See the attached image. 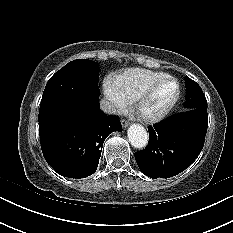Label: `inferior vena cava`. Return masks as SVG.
I'll return each mask as SVG.
<instances>
[{"label":"inferior vena cava","mask_w":233,"mask_h":233,"mask_svg":"<svg viewBox=\"0 0 233 233\" xmlns=\"http://www.w3.org/2000/svg\"><path fill=\"white\" fill-rule=\"evenodd\" d=\"M101 110L107 114H113L116 112L115 106L113 103L103 98L100 101Z\"/></svg>","instance_id":"inferior-vena-cava-1"}]
</instances>
